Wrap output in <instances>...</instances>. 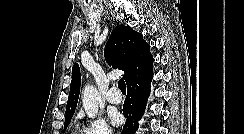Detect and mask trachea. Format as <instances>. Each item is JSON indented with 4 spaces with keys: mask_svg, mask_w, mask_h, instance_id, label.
<instances>
[{
    "mask_svg": "<svg viewBox=\"0 0 244 134\" xmlns=\"http://www.w3.org/2000/svg\"><path fill=\"white\" fill-rule=\"evenodd\" d=\"M118 88L121 90L122 93H126V84L123 79L118 81Z\"/></svg>",
    "mask_w": 244,
    "mask_h": 134,
    "instance_id": "trachea-1",
    "label": "trachea"
}]
</instances>
